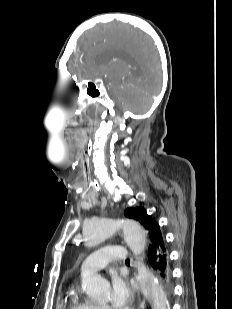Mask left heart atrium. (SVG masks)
<instances>
[{
    "instance_id": "left-heart-atrium-1",
    "label": "left heart atrium",
    "mask_w": 232,
    "mask_h": 309,
    "mask_svg": "<svg viewBox=\"0 0 232 309\" xmlns=\"http://www.w3.org/2000/svg\"><path fill=\"white\" fill-rule=\"evenodd\" d=\"M111 302L115 309H127L135 300V289L132 284L120 274L110 276Z\"/></svg>"
}]
</instances>
